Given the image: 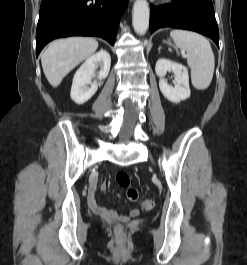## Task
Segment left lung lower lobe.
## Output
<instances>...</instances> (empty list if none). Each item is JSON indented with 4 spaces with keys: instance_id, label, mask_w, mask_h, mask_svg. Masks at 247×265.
Listing matches in <instances>:
<instances>
[{
    "instance_id": "obj_1",
    "label": "left lung lower lobe",
    "mask_w": 247,
    "mask_h": 265,
    "mask_svg": "<svg viewBox=\"0 0 247 265\" xmlns=\"http://www.w3.org/2000/svg\"><path fill=\"white\" fill-rule=\"evenodd\" d=\"M150 6V33L164 27L192 30L210 37L219 47V31L212 0H173Z\"/></svg>"
}]
</instances>
